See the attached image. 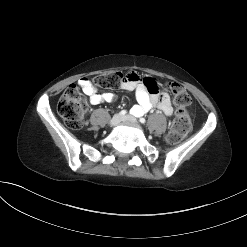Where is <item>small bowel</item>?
<instances>
[{"mask_svg":"<svg viewBox=\"0 0 247 247\" xmlns=\"http://www.w3.org/2000/svg\"><path fill=\"white\" fill-rule=\"evenodd\" d=\"M78 84L93 105L112 102L116 99L115 95L110 92H99L87 78H81ZM120 87L125 91L135 93L138 104L130 110L133 115H144L152 107H157L167 116L172 115L173 107L170 96L167 92L158 90L155 79L151 77L141 78L135 72H129Z\"/></svg>","mask_w":247,"mask_h":247,"instance_id":"c3829d8e","label":"small bowel"}]
</instances>
